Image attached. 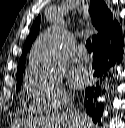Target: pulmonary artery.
<instances>
[{
	"instance_id": "e3ab8cb5",
	"label": "pulmonary artery",
	"mask_w": 125,
	"mask_h": 128,
	"mask_svg": "<svg viewBox=\"0 0 125 128\" xmlns=\"http://www.w3.org/2000/svg\"><path fill=\"white\" fill-rule=\"evenodd\" d=\"M72 60L77 63H86L89 60L88 54L86 53L84 46L79 45L71 55Z\"/></svg>"
}]
</instances>
